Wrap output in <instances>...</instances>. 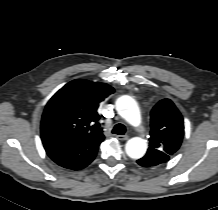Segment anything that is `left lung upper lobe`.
Segmentation results:
<instances>
[{
  "mask_svg": "<svg viewBox=\"0 0 218 210\" xmlns=\"http://www.w3.org/2000/svg\"><path fill=\"white\" fill-rule=\"evenodd\" d=\"M184 136L183 118L170 99L159 101L151 111L150 144L144 158L150 166L167 162Z\"/></svg>",
  "mask_w": 218,
  "mask_h": 210,
  "instance_id": "obj_1",
  "label": "left lung upper lobe"
}]
</instances>
